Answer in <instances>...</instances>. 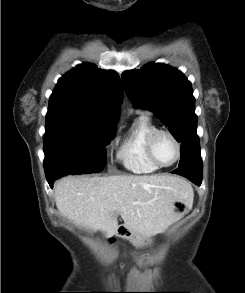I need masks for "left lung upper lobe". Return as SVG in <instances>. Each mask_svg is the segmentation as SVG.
<instances>
[{"instance_id": "left-lung-upper-lobe-1", "label": "left lung upper lobe", "mask_w": 245, "mask_h": 293, "mask_svg": "<svg viewBox=\"0 0 245 293\" xmlns=\"http://www.w3.org/2000/svg\"><path fill=\"white\" fill-rule=\"evenodd\" d=\"M122 81L134 105L153 111L181 142L179 168L202 172L195 99L185 76L168 65L150 63L124 72Z\"/></svg>"}]
</instances>
